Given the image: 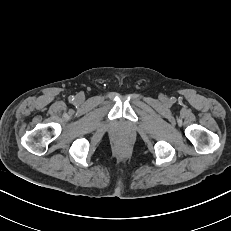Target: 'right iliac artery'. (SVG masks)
<instances>
[{
    "label": "right iliac artery",
    "instance_id": "1",
    "mask_svg": "<svg viewBox=\"0 0 231 231\" xmlns=\"http://www.w3.org/2000/svg\"><path fill=\"white\" fill-rule=\"evenodd\" d=\"M69 98H70V100H74V97H73V96H70Z\"/></svg>",
    "mask_w": 231,
    "mask_h": 231
}]
</instances>
